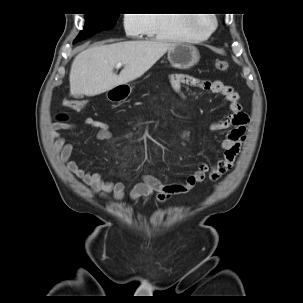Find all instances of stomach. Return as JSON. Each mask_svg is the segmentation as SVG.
Returning <instances> with one entry per match:
<instances>
[{
  "label": "stomach",
  "mask_w": 303,
  "mask_h": 303,
  "mask_svg": "<svg viewBox=\"0 0 303 303\" xmlns=\"http://www.w3.org/2000/svg\"><path fill=\"white\" fill-rule=\"evenodd\" d=\"M168 60L171 65L178 69H188L194 66L200 59L199 51L193 45L187 43H175L168 50ZM129 91L130 85H125Z\"/></svg>",
  "instance_id": "obj_1"
}]
</instances>
